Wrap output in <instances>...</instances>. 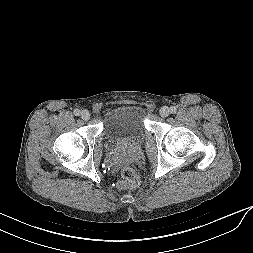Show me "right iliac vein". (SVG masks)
<instances>
[{
  "label": "right iliac vein",
  "mask_w": 253,
  "mask_h": 253,
  "mask_svg": "<svg viewBox=\"0 0 253 253\" xmlns=\"http://www.w3.org/2000/svg\"><path fill=\"white\" fill-rule=\"evenodd\" d=\"M81 118L84 120V121H87L90 119V113L87 111V110H83L80 114Z\"/></svg>",
  "instance_id": "1"
}]
</instances>
